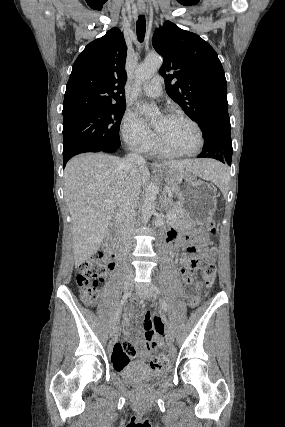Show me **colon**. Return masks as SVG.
<instances>
[{"label":"colon","instance_id":"1","mask_svg":"<svg viewBox=\"0 0 285 427\" xmlns=\"http://www.w3.org/2000/svg\"><path fill=\"white\" fill-rule=\"evenodd\" d=\"M216 225L213 220H210L204 231L192 229L187 233V238L190 244L187 246V253L190 256V265L184 270L187 280V297L189 301H195L198 297L201 282L192 278L190 272L198 267L197 261L194 260L195 255L207 248L206 237L204 232L214 233ZM211 253L215 252V248L209 249ZM109 264L103 257H95L88 259L78 265L76 275V283L79 288L81 300L85 304H93L96 300L98 287L105 280ZM206 284L209 286L213 283L216 275V266L213 261H210L203 267ZM120 348L127 354H133L134 348L130 341H122ZM169 363V359L165 354H159L150 360L152 369L159 370L165 368Z\"/></svg>","mask_w":285,"mask_h":427}]
</instances>
